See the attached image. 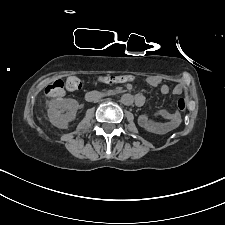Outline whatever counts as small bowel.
Masks as SVG:
<instances>
[{
	"label": "small bowel",
	"mask_w": 225,
	"mask_h": 225,
	"mask_svg": "<svg viewBox=\"0 0 225 225\" xmlns=\"http://www.w3.org/2000/svg\"><path fill=\"white\" fill-rule=\"evenodd\" d=\"M148 83L152 87H157L160 84V80L158 78H150ZM161 93L163 95H167L170 92V88L168 85H161ZM174 94L181 95L184 93V88L182 85L178 84L173 89ZM144 99V95L142 93H138ZM155 116L161 117L164 119L163 122L156 121L152 119L148 114H142L139 118V122L141 126L148 132L154 134H163L171 131L176 128L181 122V115L177 111L169 110V109H161L156 112Z\"/></svg>",
	"instance_id": "1"
}]
</instances>
